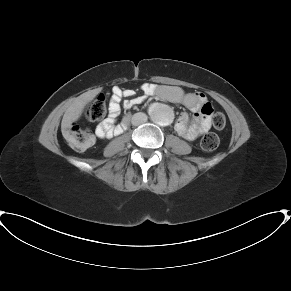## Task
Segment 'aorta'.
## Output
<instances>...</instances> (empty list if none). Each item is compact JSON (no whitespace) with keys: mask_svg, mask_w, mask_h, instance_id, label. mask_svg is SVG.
<instances>
[{"mask_svg":"<svg viewBox=\"0 0 291 291\" xmlns=\"http://www.w3.org/2000/svg\"><path fill=\"white\" fill-rule=\"evenodd\" d=\"M150 116L154 123L160 126H168L173 121L172 109L164 104H156L150 110Z\"/></svg>","mask_w":291,"mask_h":291,"instance_id":"1","label":"aorta"}]
</instances>
